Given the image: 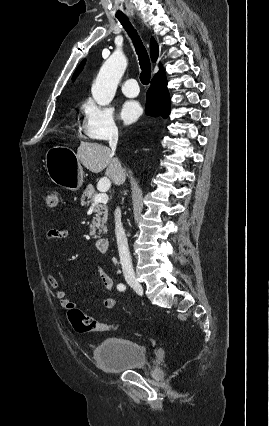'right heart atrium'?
I'll list each match as a JSON object with an SVG mask.
<instances>
[{
    "label": "right heart atrium",
    "mask_w": 269,
    "mask_h": 426,
    "mask_svg": "<svg viewBox=\"0 0 269 426\" xmlns=\"http://www.w3.org/2000/svg\"><path fill=\"white\" fill-rule=\"evenodd\" d=\"M82 134L92 140H107L119 135L114 112L110 107L87 99L82 105Z\"/></svg>",
    "instance_id": "d8ad5b80"
}]
</instances>
